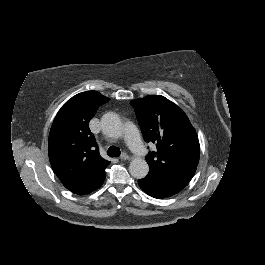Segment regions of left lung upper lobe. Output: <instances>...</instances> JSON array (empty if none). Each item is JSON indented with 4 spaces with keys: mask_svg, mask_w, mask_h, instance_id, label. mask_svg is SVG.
Instances as JSON below:
<instances>
[{
    "mask_svg": "<svg viewBox=\"0 0 265 265\" xmlns=\"http://www.w3.org/2000/svg\"><path fill=\"white\" fill-rule=\"evenodd\" d=\"M144 139L156 144L146 161L150 175L189 182L198 165L199 141L188 117L176 104L160 95L131 101Z\"/></svg>",
    "mask_w": 265,
    "mask_h": 265,
    "instance_id": "left-lung-upper-lobe-1",
    "label": "left lung upper lobe"
}]
</instances>
